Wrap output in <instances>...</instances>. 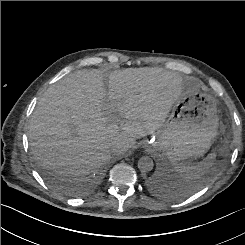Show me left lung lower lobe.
Segmentation results:
<instances>
[{"label":"left lung lower lobe","instance_id":"1","mask_svg":"<svg viewBox=\"0 0 245 245\" xmlns=\"http://www.w3.org/2000/svg\"><path fill=\"white\" fill-rule=\"evenodd\" d=\"M148 187L167 199H178L186 195L188 187L185 184L175 182L163 174H158L148 181Z\"/></svg>","mask_w":245,"mask_h":245}]
</instances>
